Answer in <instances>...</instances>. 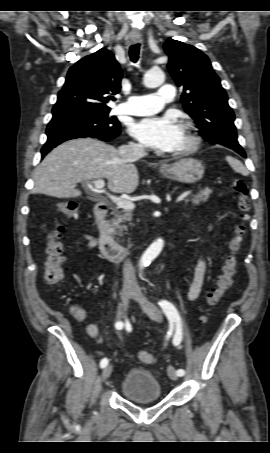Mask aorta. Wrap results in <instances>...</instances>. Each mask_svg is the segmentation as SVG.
Here are the masks:
<instances>
[{"instance_id": "obj_1", "label": "aorta", "mask_w": 270, "mask_h": 453, "mask_svg": "<svg viewBox=\"0 0 270 453\" xmlns=\"http://www.w3.org/2000/svg\"><path fill=\"white\" fill-rule=\"evenodd\" d=\"M165 79L163 71L159 68H154L149 70L144 75V84L146 87L155 88L160 86ZM164 242L162 239L156 240L150 245V247L145 251L140 260V266H145L151 263L162 251Z\"/></svg>"}]
</instances>
